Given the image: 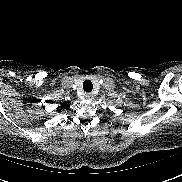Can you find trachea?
Here are the masks:
<instances>
[{"instance_id": "trachea-1", "label": "trachea", "mask_w": 182, "mask_h": 182, "mask_svg": "<svg viewBox=\"0 0 182 182\" xmlns=\"http://www.w3.org/2000/svg\"><path fill=\"white\" fill-rule=\"evenodd\" d=\"M83 89H84V91H86V92H91L92 89H93V84H92V82H91L90 80H85V81L83 82Z\"/></svg>"}]
</instances>
